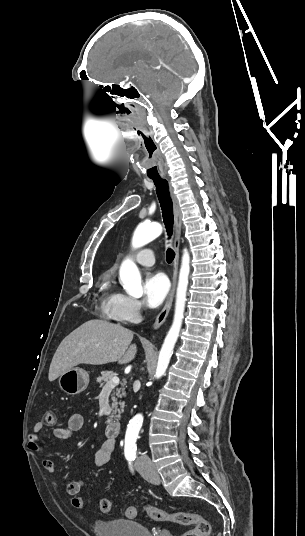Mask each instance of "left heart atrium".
<instances>
[{
    "label": "left heart atrium",
    "mask_w": 305,
    "mask_h": 536,
    "mask_svg": "<svg viewBox=\"0 0 305 536\" xmlns=\"http://www.w3.org/2000/svg\"><path fill=\"white\" fill-rule=\"evenodd\" d=\"M168 289V280L164 274H148L144 279V295L147 305L152 308L158 307L163 302Z\"/></svg>",
    "instance_id": "39dd6f15"
}]
</instances>
